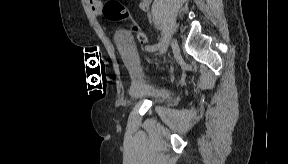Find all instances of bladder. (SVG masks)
<instances>
[{"label": "bladder", "instance_id": "1", "mask_svg": "<svg viewBox=\"0 0 288 164\" xmlns=\"http://www.w3.org/2000/svg\"><path fill=\"white\" fill-rule=\"evenodd\" d=\"M119 51L132 76L130 95L134 99H148L152 103L166 100V90L153 77L143 73L141 61L135 47L123 35L118 37Z\"/></svg>", "mask_w": 288, "mask_h": 164}]
</instances>
